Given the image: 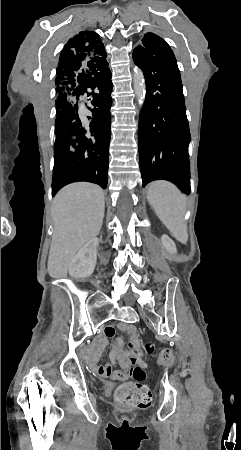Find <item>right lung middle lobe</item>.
Instances as JSON below:
<instances>
[{"label":"right lung middle lobe","mask_w":241,"mask_h":450,"mask_svg":"<svg viewBox=\"0 0 241 450\" xmlns=\"http://www.w3.org/2000/svg\"><path fill=\"white\" fill-rule=\"evenodd\" d=\"M64 104L60 101H56V114L58 115L59 111L63 108Z\"/></svg>","instance_id":"obj_1"}]
</instances>
